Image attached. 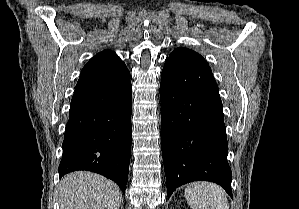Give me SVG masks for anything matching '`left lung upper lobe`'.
I'll list each match as a JSON object with an SVG mask.
<instances>
[{
    "label": "left lung upper lobe",
    "instance_id": "1",
    "mask_svg": "<svg viewBox=\"0 0 299 209\" xmlns=\"http://www.w3.org/2000/svg\"><path fill=\"white\" fill-rule=\"evenodd\" d=\"M168 59L178 61V62H190V63H201L207 64L205 59L197 52L190 50L188 48H177L175 49Z\"/></svg>",
    "mask_w": 299,
    "mask_h": 209
}]
</instances>
